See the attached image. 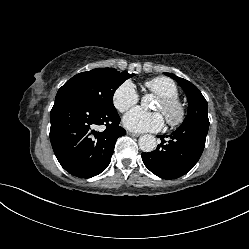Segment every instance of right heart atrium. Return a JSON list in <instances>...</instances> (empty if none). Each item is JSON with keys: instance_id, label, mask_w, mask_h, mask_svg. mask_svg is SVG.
Returning a JSON list of instances; mask_svg holds the SVG:
<instances>
[{"instance_id": "right-heart-atrium-1", "label": "right heart atrium", "mask_w": 249, "mask_h": 249, "mask_svg": "<svg viewBox=\"0 0 249 249\" xmlns=\"http://www.w3.org/2000/svg\"><path fill=\"white\" fill-rule=\"evenodd\" d=\"M139 100L136 87L130 81L121 83L114 91L112 103L114 107L121 113L126 112L134 106Z\"/></svg>"}]
</instances>
